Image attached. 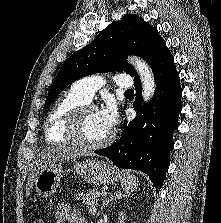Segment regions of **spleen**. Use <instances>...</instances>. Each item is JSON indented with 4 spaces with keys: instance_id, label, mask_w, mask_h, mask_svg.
Returning a JSON list of instances; mask_svg holds the SVG:
<instances>
[{
    "instance_id": "obj_1",
    "label": "spleen",
    "mask_w": 221,
    "mask_h": 223,
    "mask_svg": "<svg viewBox=\"0 0 221 223\" xmlns=\"http://www.w3.org/2000/svg\"><path fill=\"white\" fill-rule=\"evenodd\" d=\"M118 178L120 180V184L122 188L126 191H134L138 185V178L131 174L130 171H118Z\"/></svg>"
}]
</instances>
